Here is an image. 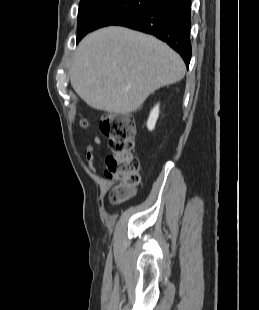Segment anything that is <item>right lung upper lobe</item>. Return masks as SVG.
Segmentation results:
<instances>
[{"label": "right lung upper lobe", "mask_w": 259, "mask_h": 310, "mask_svg": "<svg viewBox=\"0 0 259 310\" xmlns=\"http://www.w3.org/2000/svg\"><path fill=\"white\" fill-rule=\"evenodd\" d=\"M102 1H105V0H81L79 4V8H86V7L95 5L97 3H100Z\"/></svg>", "instance_id": "1"}]
</instances>
